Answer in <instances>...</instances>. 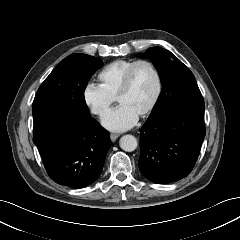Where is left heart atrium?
<instances>
[{"instance_id": "39dd6f15", "label": "left heart atrium", "mask_w": 240, "mask_h": 240, "mask_svg": "<svg viewBox=\"0 0 240 240\" xmlns=\"http://www.w3.org/2000/svg\"><path fill=\"white\" fill-rule=\"evenodd\" d=\"M138 117L128 107L119 105L102 119V124L111 131H124L133 127L138 121Z\"/></svg>"}]
</instances>
